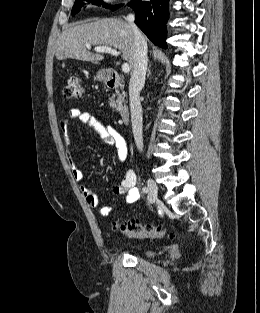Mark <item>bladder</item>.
Segmentation results:
<instances>
[{"label": "bladder", "instance_id": "obj_1", "mask_svg": "<svg viewBox=\"0 0 260 313\" xmlns=\"http://www.w3.org/2000/svg\"><path fill=\"white\" fill-rule=\"evenodd\" d=\"M145 254L149 258H154L158 256V253L155 250H151V249L145 250Z\"/></svg>", "mask_w": 260, "mask_h": 313}]
</instances>
